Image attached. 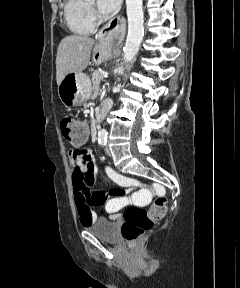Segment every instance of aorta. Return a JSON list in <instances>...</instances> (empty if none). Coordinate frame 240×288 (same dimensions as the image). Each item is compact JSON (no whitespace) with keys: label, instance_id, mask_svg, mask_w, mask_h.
I'll return each mask as SVG.
<instances>
[{"label":"aorta","instance_id":"1","mask_svg":"<svg viewBox=\"0 0 240 288\" xmlns=\"http://www.w3.org/2000/svg\"><path fill=\"white\" fill-rule=\"evenodd\" d=\"M127 18H128V34L125 46L123 48L124 61L131 62L138 53L140 44L144 36V14L142 0H126ZM107 132L101 129L98 132V139L106 140Z\"/></svg>","mask_w":240,"mask_h":288}]
</instances>
